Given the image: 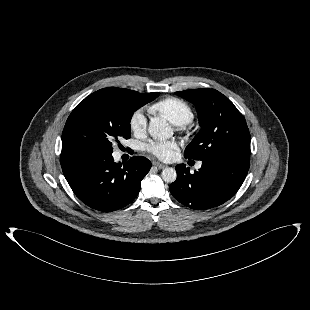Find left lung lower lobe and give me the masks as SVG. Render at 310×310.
<instances>
[{
    "mask_svg": "<svg viewBox=\"0 0 310 310\" xmlns=\"http://www.w3.org/2000/svg\"><path fill=\"white\" fill-rule=\"evenodd\" d=\"M249 166V158L229 155L202 161V167L193 174L180 164L176 166L177 179L169 189L187 207L210 209L223 204L238 191Z\"/></svg>",
    "mask_w": 310,
    "mask_h": 310,
    "instance_id": "obj_1",
    "label": "left lung lower lobe"
}]
</instances>
